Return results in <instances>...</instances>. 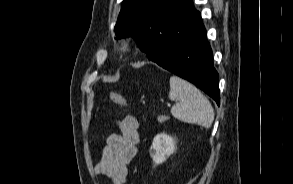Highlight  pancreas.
I'll use <instances>...</instances> for the list:
<instances>
[{"label": "pancreas", "instance_id": "1", "mask_svg": "<svg viewBox=\"0 0 293 184\" xmlns=\"http://www.w3.org/2000/svg\"><path fill=\"white\" fill-rule=\"evenodd\" d=\"M167 119H168L167 116H165V115H161V116H159V117L157 118V121H158L159 123H162V122L166 121Z\"/></svg>", "mask_w": 293, "mask_h": 184}]
</instances>
